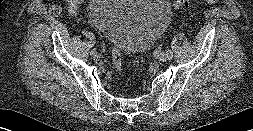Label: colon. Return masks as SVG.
Instances as JSON below:
<instances>
[{"mask_svg": "<svg viewBox=\"0 0 253 131\" xmlns=\"http://www.w3.org/2000/svg\"><path fill=\"white\" fill-rule=\"evenodd\" d=\"M192 1L193 0H175L174 5L177 8H186L191 4ZM201 1L207 4H214L217 2V0H201ZM112 59L116 70L118 71V73H121L122 71L121 52L115 47L112 50Z\"/></svg>", "mask_w": 253, "mask_h": 131, "instance_id": "obj_1", "label": "colon"}]
</instances>
